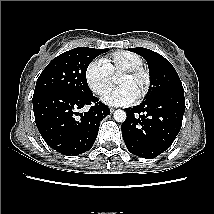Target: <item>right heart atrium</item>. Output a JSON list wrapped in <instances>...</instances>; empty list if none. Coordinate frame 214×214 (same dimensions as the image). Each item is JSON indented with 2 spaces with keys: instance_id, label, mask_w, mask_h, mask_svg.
Instances as JSON below:
<instances>
[{
  "instance_id": "right-heart-atrium-1",
  "label": "right heart atrium",
  "mask_w": 214,
  "mask_h": 214,
  "mask_svg": "<svg viewBox=\"0 0 214 214\" xmlns=\"http://www.w3.org/2000/svg\"><path fill=\"white\" fill-rule=\"evenodd\" d=\"M84 76L88 87L98 96H104L112 87V74L103 60L91 61L85 69Z\"/></svg>"
}]
</instances>
